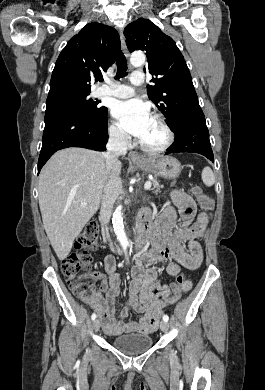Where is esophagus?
Wrapping results in <instances>:
<instances>
[{"label": "esophagus", "mask_w": 265, "mask_h": 390, "mask_svg": "<svg viewBox=\"0 0 265 390\" xmlns=\"http://www.w3.org/2000/svg\"><path fill=\"white\" fill-rule=\"evenodd\" d=\"M120 40H121V47H122L123 53L125 54L126 57H129V51L127 49L125 37H124L122 32H120ZM129 159L132 162H143L144 161V159L136 152H131L129 154Z\"/></svg>", "instance_id": "1"}]
</instances>
